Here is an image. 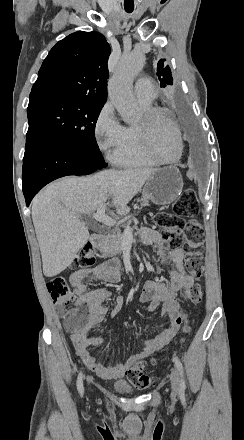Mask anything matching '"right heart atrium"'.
Returning a JSON list of instances; mask_svg holds the SVG:
<instances>
[{"label":"right heart atrium","mask_w":244,"mask_h":440,"mask_svg":"<svg viewBox=\"0 0 244 440\" xmlns=\"http://www.w3.org/2000/svg\"><path fill=\"white\" fill-rule=\"evenodd\" d=\"M126 127L116 115L113 103H105L99 112L94 125V135L100 149L112 158L113 151H129L133 142L125 137Z\"/></svg>","instance_id":"obj_1"}]
</instances>
